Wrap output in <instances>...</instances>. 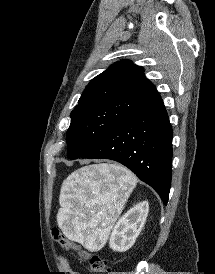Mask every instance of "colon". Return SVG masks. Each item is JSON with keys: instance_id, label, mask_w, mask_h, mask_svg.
I'll use <instances>...</instances> for the list:
<instances>
[{"instance_id": "5ec220e1", "label": "colon", "mask_w": 215, "mask_h": 274, "mask_svg": "<svg viewBox=\"0 0 215 274\" xmlns=\"http://www.w3.org/2000/svg\"><path fill=\"white\" fill-rule=\"evenodd\" d=\"M53 237L55 241L66 249H74L77 251L80 259L87 261L91 271L96 274H112L107 266L106 260L95 254H90L86 251L81 250L71 240H69L58 228H53Z\"/></svg>"}]
</instances>
